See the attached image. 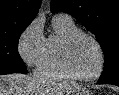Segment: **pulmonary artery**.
<instances>
[{
	"label": "pulmonary artery",
	"mask_w": 119,
	"mask_h": 95,
	"mask_svg": "<svg viewBox=\"0 0 119 95\" xmlns=\"http://www.w3.org/2000/svg\"><path fill=\"white\" fill-rule=\"evenodd\" d=\"M55 17H59V18L67 19V20H72L71 16L66 14V13L57 14Z\"/></svg>",
	"instance_id": "1"
}]
</instances>
